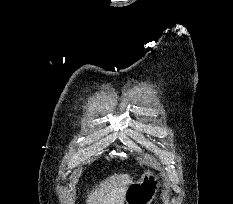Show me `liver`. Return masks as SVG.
<instances>
[{
	"label": "liver",
	"instance_id": "1",
	"mask_svg": "<svg viewBox=\"0 0 233 204\" xmlns=\"http://www.w3.org/2000/svg\"><path fill=\"white\" fill-rule=\"evenodd\" d=\"M132 182L128 174H114L102 181L88 195L87 204H124L127 187Z\"/></svg>",
	"mask_w": 233,
	"mask_h": 204
}]
</instances>
